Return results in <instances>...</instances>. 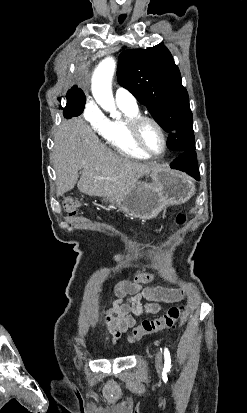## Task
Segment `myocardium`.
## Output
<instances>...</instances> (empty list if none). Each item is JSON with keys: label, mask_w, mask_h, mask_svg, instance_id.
<instances>
[{"label": "myocardium", "mask_w": 247, "mask_h": 413, "mask_svg": "<svg viewBox=\"0 0 247 413\" xmlns=\"http://www.w3.org/2000/svg\"><path fill=\"white\" fill-rule=\"evenodd\" d=\"M145 123L152 125L156 129H158L159 132L161 133L163 137V141H164V147L160 153L152 152L142 144L141 139H140V129H141V126ZM131 138H132L134 145L141 152L147 155L149 158L161 159L167 153L168 146H169V140H168L167 133L165 129L153 118L146 117V116H136L131 125Z\"/></svg>", "instance_id": "obj_1"}]
</instances>
